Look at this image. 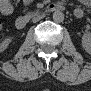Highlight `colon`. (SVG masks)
Listing matches in <instances>:
<instances>
[{"label": "colon", "mask_w": 91, "mask_h": 91, "mask_svg": "<svg viewBox=\"0 0 91 91\" xmlns=\"http://www.w3.org/2000/svg\"><path fill=\"white\" fill-rule=\"evenodd\" d=\"M6 3L8 4V2H3L2 3V11H4L6 9V7L4 6V4H6Z\"/></svg>", "instance_id": "1"}]
</instances>
